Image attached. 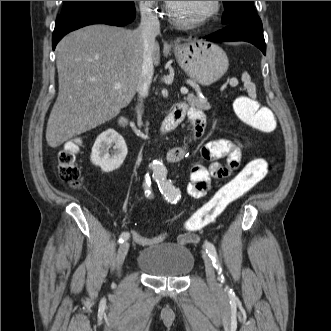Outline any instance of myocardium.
<instances>
[{"instance_id": "obj_1", "label": "myocardium", "mask_w": 331, "mask_h": 331, "mask_svg": "<svg viewBox=\"0 0 331 331\" xmlns=\"http://www.w3.org/2000/svg\"><path fill=\"white\" fill-rule=\"evenodd\" d=\"M221 9V1H212V5L211 8L208 12L202 14L201 16L192 19V20H181L179 18H177L174 13L173 10L171 8V4L167 3L166 5V14L168 16V18L170 19V21L175 24L176 26L179 27H197L200 25H203L205 23H207L208 21L212 20L214 17H216Z\"/></svg>"}]
</instances>
